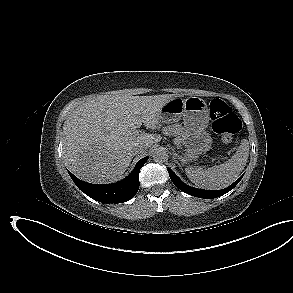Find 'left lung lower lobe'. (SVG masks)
<instances>
[{
  "mask_svg": "<svg viewBox=\"0 0 293 293\" xmlns=\"http://www.w3.org/2000/svg\"><path fill=\"white\" fill-rule=\"evenodd\" d=\"M168 173H169V176H170L172 182L174 183V185H176L180 190H182L183 192H185L189 195L199 197V198H205V199H213V198H216V197H219V196L226 194L227 192L232 190L239 183L241 178L243 177V176H241L232 185H230L229 187H227L225 189L212 191V190L197 189V188H193L191 186H188L185 183H183L175 175V173L173 171H171L170 169H168Z\"/></svg>",
  "mask_w": 293,
  "mask_h": 293,
  "instance_id": "0a47b994",
  "label": "left lung lower lobe"
}]
</instances>
